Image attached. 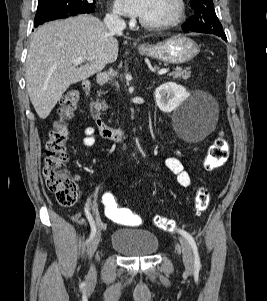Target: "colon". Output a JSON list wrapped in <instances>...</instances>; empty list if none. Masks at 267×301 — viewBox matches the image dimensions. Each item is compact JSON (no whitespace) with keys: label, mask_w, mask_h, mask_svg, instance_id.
Listing matches in <instances>:
<instances>
[{"label":"colon","mask_w":267,"mask_h":301,"mask_svg":"<svg viewBox=\"0 0 267 301\" xmlns=\"http://www.w3.org/2000/svg\"><path fill=\"white\" fill-rule=\"evenodd\" d=\"M79 102L77 90H68L62 96L59 104V118L55 121L46 143V158L43 174L46 186L59 204L72 206L78 198V187L74 178L63 169L69 159L67 142L69 131L67 120L70 119ZM229 157V144L220 135L210 146L204 160V167L213 170L225 164ZM197 211H205L210 203V194L206 187L198 188L195 195ZM102 211L107 219L118 224H131L138 221V217L128 208L122 207L112 191H106L101 197ZM154 224L165 231H173L175 222L162 216H155Z\"/></svg>","instance_id":"5ec220e1"}]
</instances>
